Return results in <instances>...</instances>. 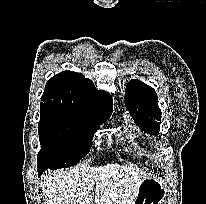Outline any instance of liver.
<instances>
[{
  "mask_svg": "<svg viewBox=\"0 0 206 204\" xmlns=\"http://www.w3.org/2000/svg\"><path fill=\"white\" fill-rule=\"evenodd\" d=\"M148 175L132 165L75 167L46 173L39 186L48 197L45 204H133L138 187Z\"/></svg>",
  "mask_w": 206,
  "mask_h": 204,
  "instance_id": "6515ba94",
  "label": "liver"
}]
</instances>
